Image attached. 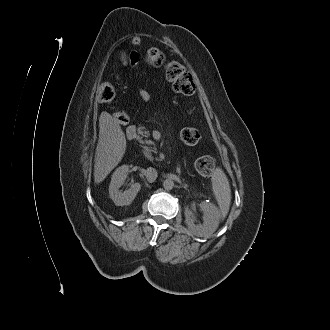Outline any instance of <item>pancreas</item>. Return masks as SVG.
<instances>
[{
	"instance_id": "obj_1",
	"label": "pancreas",
	"mask_w": 330,
	"mask_h": 330,
	"mask_svg": "<svg viewBox=\"0 0 330 330\" xmlns=\"http://www.w3.org/2000/svg\"><path fill=\"white\" fill-rule=\"evenodd\" d=\"M145 142H146L147 144H152V141H151V140H145Z\"/></svg>"
}]
</instances>
